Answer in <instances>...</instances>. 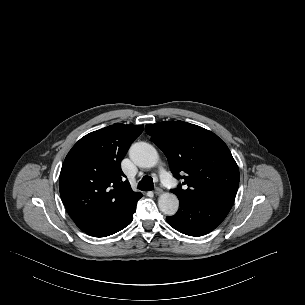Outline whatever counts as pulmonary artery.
Here are the masks:
<instances>
[{
    "mask_svg": "<svg viewBox=\"0 0 305 305\" xmlns=\"http://www.w3.org/2000/svg\"><path fill=\"white\" fill-rule=\"evenodd\" d=\"M160 179L162 183L167 187H172L174 185L173 177L165 169L161 170Z\"/></svg>",
    "mask_w": 305,
    "mask_h": 305,
    "instance_id": "obj_1",
    "label": "pulmonary artery"
}]
</instances>
